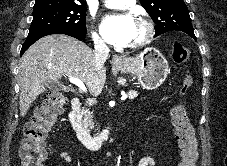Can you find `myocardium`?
<instances>
[{
  "label": "myocardium",
  "mask_w": 227,
  "mask_h": 166,
  "mask_svg": "<svg viewBox=\"0 0 227 166\" xmlns=\"http://www.w3.org/2000/svg\"><path fill=\"white\" fill-rule=\"evenodd\" d=\"M137 22L143 27V36L130 45L131 48H142L149 44L154 37L155 30L153 24L143 16L138 17Z\"/></svg>",
  "instance_id": "myocardium-1"
}]
</instances>
